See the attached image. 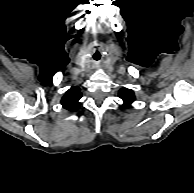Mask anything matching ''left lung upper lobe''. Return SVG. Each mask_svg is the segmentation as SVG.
Returning a JSON list of instances; mask_svg holds the SVG:
<instances>
[{
	"instance_id": "1",
	"label": "left lung upper lobe",
	"mask_w": 194,
	"mask_h": 193,
	"mask_svg": "<svg viewBox=\"0 0 194 193\" xmlns=\"http://www.w3.org/2000/svg\"><path fill=\"white\" fill-rule=\"evenodd\" d=\"M119 97L124 102V107H129L135 101L134 92L130 89L122 88L119 91Z\"/></svg>"
}]
</instances>
